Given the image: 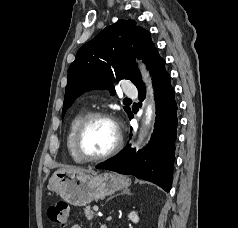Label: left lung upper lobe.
I'll use <instances>...</instances> for the list:
<instances>
[{
  "label": "left lung upper lobe",
  "instance_id": "obj_1",
  "mask_svg": "<svg viewBox=\"0 0 238 228\" xmlns=\"http://www.w3.org/2000/svg\"><path fill=\"white\" fill-rule=\"evenodd\" d=\"M155 50L150 33L134 20H118L106 27L79 49L68 69L62 117L66 108L86 91L109 89L114 95L113 83L122 79L131 80L137 86L141 76L135 57L147 63ZM124 109L128 115L131 113L130 108Z\"/></svg>",
  "mask_w": 238,
  "mask_h": 228
}]
</instances>
